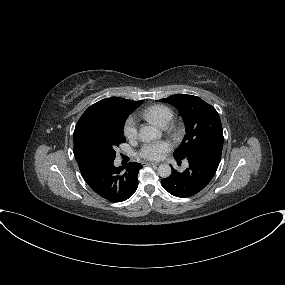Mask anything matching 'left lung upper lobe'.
Here are the masks:
<instances>
[{"instance_id":"obj_1","label":"left lung upper lobe","mask_w":285,"mask_h":285,"mask_svg":"<svg viewBox=\"0 0 285 285\" xmlns=\"http://www.w3.org/2000/svg\"><path fill=\"white\" fill-rule=\"evenodd\" d=\"M160 101L174 105L185 122L186 134L174 158L184 159L202 149L223 147L222 125L214 107L187 94L172 95Z\"/></svg>"}]
</instances>
